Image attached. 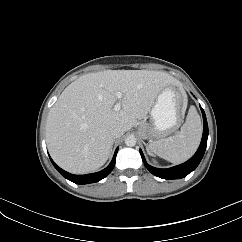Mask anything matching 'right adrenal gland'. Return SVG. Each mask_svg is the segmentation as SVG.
Here are the masks:
<instances>
[{"label": "right adrenal gland", "mask_w": 242, "mask_h": 242, "mask_svg": "<svg viewBox=\"0 0 242 242\" xmlns=\"http://www.w3.org/2000/svg\"><path fill=\"white\" fill-rule=\"evenodd\" d=\"M113 143H114V142H112L111 148L113 147Z\"/></svg>", "instance_id": "right-adrenal-gland-1"}]
</instances>
